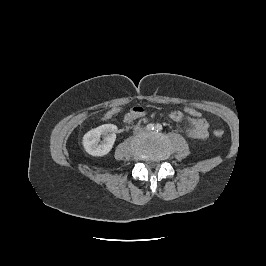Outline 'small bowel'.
Instances as JSON below:
<instances>
[{
	"mask_svg": "<svg viewBox=\"0 0 266 266\" xmlns=\"http://www.w3.org/2000/svg\"><path fill=\"white\" fill-rule=\"evenodd\" d=\"M113 112H109L106 117H111ZM145 115V111L142 107H133L127 114L128 120H135ZM169 117L177 122L185 121L186 126L184 127V132L191 138L194 139H204L208 136L209 125L207 121L203 118H191L184 115L181 111L172 110L169 112Z\"/></svg>",
	"mask_w": 266,
	"mask_h": 266,
	"instance_id": "1",
	"label": "small bowel"
}]
</instances>
